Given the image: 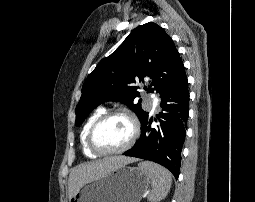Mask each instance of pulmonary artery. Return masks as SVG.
Instances as JSON below:
<instances>
[{"label":"pulmonary artery","mask_w":255,"mask_h":202,"mask_svg":"<svg viewBox=\"0 0 255 202\" xmlns=\"http://www.w3.org/2000/svg\"><path fill=\"white\" fill-rule=\"evenodd\" d=\"M149 107L153 110H157L158 109V101L157 100H152L150 103H149Z\"/></svg>","instance_id":"obj_1"}]
</instances>
